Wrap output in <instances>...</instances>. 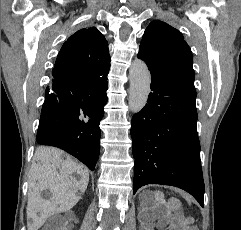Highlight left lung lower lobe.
Instances as JSON below:
<instances>
[{
  "label": "left lung lower lobe",
  "instance_id": "1",
  "mask_svg": "<svg viewBox=\"0 0 241 230\" xmlns=\"http://www.w3.org/2000/svg\"><path fill=\"white\" fill-rule=\"evenodd\" d=\"M148 103L132 118L134 193L146 184L177 186L203 206L195 87L151 73Z\"/></svg>",
  "mask_w": 241,
  "mask_h": 230
}]
</instances>
